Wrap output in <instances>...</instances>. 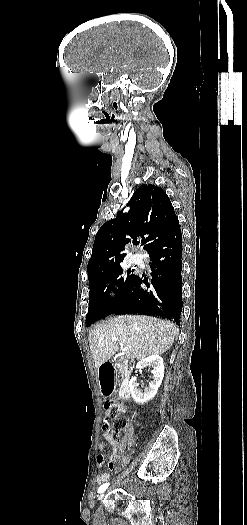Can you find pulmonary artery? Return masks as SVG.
Wrapping results in <instances>:
<instances>
[{
  "instance_id": "obj_1",
  "label": "pulmonary artery",
  "mask_w": 247,
  "mask_h": 525,
  "mask_svg": "<svg viewBox=\"0 0 247 525\" xmlns=\"http://www.w3.org/2000/svg\"><path fill=\"white\" fill-rule=\"evenodd\" d=\"M130 261H143L142 255L140 253H135L131 256Z\"/></svg>"
}]
</instances>
